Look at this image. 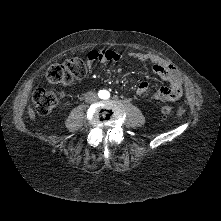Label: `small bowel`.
<instances>
[{"mask_svg":"<svg viewBox=\"0 0 221 221\" xmlns=\"http://www.w3.org/2000/svg\"><path fill=\"white\" fill-rule=\"evenodd\" d=\"M128 56L140 62H150L153 72L169 83V86L160 87L150 93L148 83L141 82L136 89L138 96L160 101H174L181 97L183 81L180 72L174 65L152 53L129 52ZM122 59L123 55L115 50H91L87 56V65L91 70L96 62H117Z\"/></svg>","mask_w":221,"mask_h":221,"instance_id":"c3829d8e","label":"small bowel"}]
</instances>
